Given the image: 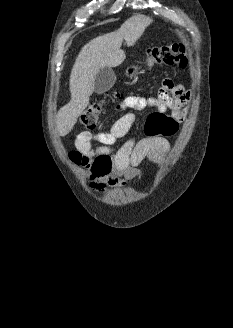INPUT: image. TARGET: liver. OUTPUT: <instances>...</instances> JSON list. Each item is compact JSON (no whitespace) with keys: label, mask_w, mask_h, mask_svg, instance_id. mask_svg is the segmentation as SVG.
<instances>
[{"label":"liver","mask_w":233,"mask_h":328,"mask_svg":"<svg viewBox=\"0 0 233 328\" xmlns=\"http://www.w3.org/2000/svg\"><path fill=\"white\" fill-rule=\"evenodd\" d=\"M150 21L142 16L128 19L117 31L98 36L84 45L71 70L69 89L71 100L57 113L56 125L60 136H66L89 104L94 91V78L100 69L117 67L126 58L121 49L123 40L133 46Z\"/></svg>","instance_id":"6515ba94"}]
</instances>
